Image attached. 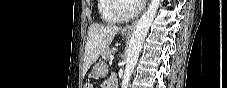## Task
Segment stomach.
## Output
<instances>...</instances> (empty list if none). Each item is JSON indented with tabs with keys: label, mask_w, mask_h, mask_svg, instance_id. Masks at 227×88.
Returning a JSON list of instances; mask_svg holds the SVG:
<instances>
[{
	"label": "stomach",
	"mask_w": 227,
	"mask_h": 88,
	"mask_svg": "<svg viewBox=\"0 0 227 88\" xmlns=\"http://www.w3.org/2000/svg\"><path fill=\"white\" fill-rule=\"evenodd\" d=\"M122 34L125 36L127 35V33L125 32H122ZM105 73H106V66L101 62L94 65L91 70V75L96 79L103 77Z\"/></svg>",
	"instance_id": "stomach-1"
}]
</instances>
